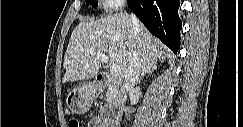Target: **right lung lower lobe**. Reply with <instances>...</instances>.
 Returning <instances> with one entry per match:
<instances>
[{"label":"right lung lower lobe","instance_id":"obj_1","mask_svg":"<svg viewBox=\"0 0 243 127\" xmlns=\"http://www.w3.org/2000/svg\"><path fill=\"white\" fill-rule=\"evenodd\" d=\"M128 4L151 34L172 51H178L181 28L177 13L179 0H128Z\"/></svg>","mask_w":243,"mask_h":127}]
</instances>
